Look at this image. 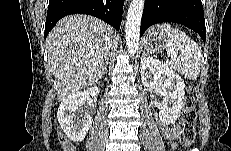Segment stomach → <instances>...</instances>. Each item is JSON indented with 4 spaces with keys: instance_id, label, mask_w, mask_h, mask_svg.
<instances>
[{
    "instance_id": "1",
    "label": "stomach",
    "mask_w": 231,
    "mask_h": 151,
    "mask_svg": "<svg viewBox=\"0 0 231 151\" xmlns=\"http://www.w3.org/2000/svg\"><path fill=\"white\" fill-rule=\"evenodd\" d=\"M167 44V34L161 29L160 25L150 28L143 38V46L149 52H161L168 48Z\"/></svg>"
}]
</instances>
